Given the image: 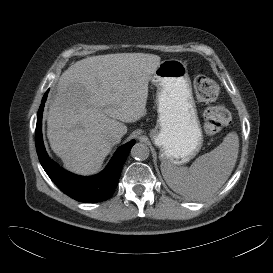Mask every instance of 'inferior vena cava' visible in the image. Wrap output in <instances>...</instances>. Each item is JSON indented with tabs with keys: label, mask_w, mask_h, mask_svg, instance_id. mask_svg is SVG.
Returning a JSON list of instances; mask_svg holds the SVG:
<instances>
[{
	"label": "inferior vena cava",
	"mask_w": 273,
	"mask_h": 273,
	"mask_svg": "<svg viewBox=\"0 0 273 273\" xmlns=\"http://www.w3.org/2000/svg\"><path fill=\"white\" fill-rule=\"evenodd\" d=\"M109 141L112 142L113 144H117L121 141V137L117 133H113L109 136Z\"/></svg>",
	"instance_id": "obj_1"
}]
</instances>
